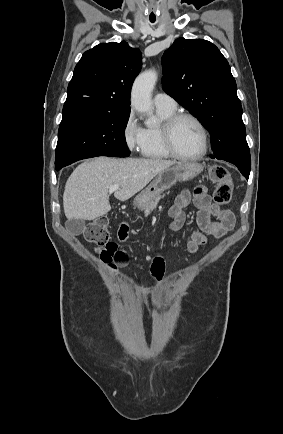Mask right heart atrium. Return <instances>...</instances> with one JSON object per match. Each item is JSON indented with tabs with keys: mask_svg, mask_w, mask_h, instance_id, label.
<instances>
[{
	"mask_svg": "<svg viewBox=\"0 0 283 434\" xmlns=\"http://www.w3.org/2000/svg\"><path fill=\"white\" fill-rule=\"evenodd\" d=\"M122 137L129 151L141 152L145 138V130L139 124L133 110L128 113L125 119L122 128Z\"/></svg>",
	"mask_w": 283,
	"mask_h": 434,
	"instance_id": "obj_1",
	"label": "right heart atrium"
}]
</instances>
